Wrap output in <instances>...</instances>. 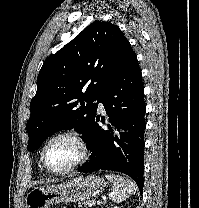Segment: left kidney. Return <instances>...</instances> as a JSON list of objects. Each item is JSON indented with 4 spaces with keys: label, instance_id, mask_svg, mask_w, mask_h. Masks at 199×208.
I'll use <instances>...</instances> for the list:
<instances>
[{
    "label": "left kidney",
    "instance_id": "obj_1",
    "mask_svg": "<svg viewBox=\"0 0 199 208\" xmlns=\"http://www.w3.org/2000/svg\"><path fill=\"white\" fill-rule=\"evenodd\" d=\"M113 208H120V207L115 206V207H113Z\"/></svg>",
    "mask_w": 199,
    "mask_h": 208
}]
</instances>
